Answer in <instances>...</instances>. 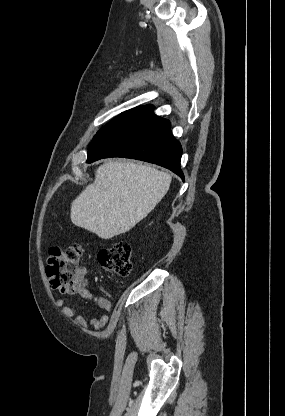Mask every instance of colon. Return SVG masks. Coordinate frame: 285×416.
Listing matches in <instances>:
<instances>
[{"mask_svg":"<svg viewBox=\"0 0 285 416\" xmlns=\"http://www.w3.org/2000/svg\"><path fill=\"white\" fill-rule=\"evenodd\" d=\"M82 252V248L76 244L65 249H51L46 272L53 288L63 293H75L85 285L84 269L79 264ZM97 259L101 266L121 277L131 273V246L127 241H118L101 249Z\"/></svg>","mask_w":285,"mask_h":416,"instance_id":"colon-1","label":"colon"}]
</instances>
